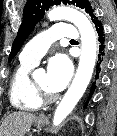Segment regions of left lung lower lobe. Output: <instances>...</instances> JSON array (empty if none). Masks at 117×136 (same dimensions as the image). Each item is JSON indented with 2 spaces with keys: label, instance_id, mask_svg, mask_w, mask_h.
Returning <instances> with one entry per match:
<instances>
[{
  "label": "left lung lower lobe",
  "instance_id": "left-lung-lower-lobe-1",
  "mask_svg": "<svg viewBox=\"0 0 117 136\" xmlns=\"http://www.w3.org/2000/svg\"><path fill=\"white\" fill-rule=\"evenodd\" d=\"M93 23L96 30L98 55H97L95 82H93L92 84L89 99L91 98L96 88V80L99 78V75L103 73L107 67V46H106L104 28L101 21L98 18L97 19L93 18ZM87 104L88 102L85 104V107Z\"/></svg>",
  "mask_w": 117,
  "mask_h": 136
}]
</instances>
